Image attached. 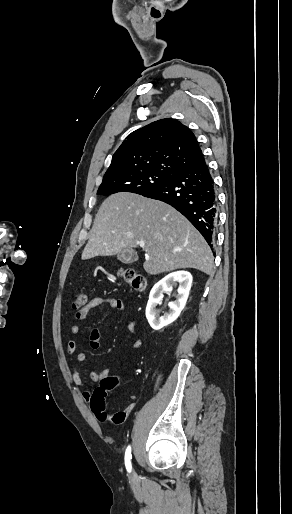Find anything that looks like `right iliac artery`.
I'll list each match as a JSON object with an SVG mask.
<instances>
[{"label": "right iliac artery", "instance_id": "1", "mask_svg": "<svg viewBox=\"0 0 292 514\" xmlns=\"http://www.w3.org/2000/svg\"><path fill=\"white\" fill-rule=\"evenodd\" d=\"M125 466L127 471L130 473L132 466H131V447L128 446L125 452Z\"/></svg>", "mask_w": 292, "mask_h": 514}]
</instances>
